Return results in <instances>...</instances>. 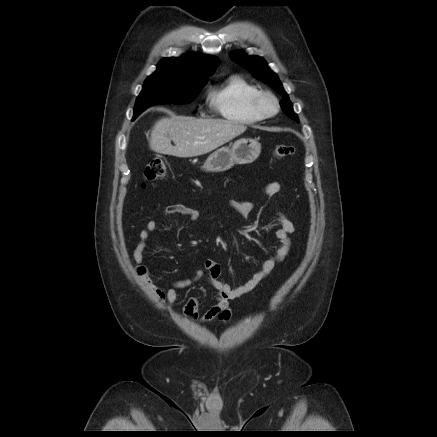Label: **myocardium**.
I'll use <instances>...</instances> for the list:
<instances>
[{
  "mask_svg": "<svg viewBox=\"0 0 437 437\" xmlns=\"http://www.w3.org/2000/svg\"><path fill=\"white\" fill-rule=\"evenodd\" d=\"M266 100L272 101L274 104L273 111H268L264 105ZM252 107L254 111L263 119L270 118L278 114L280 110V103L275 94L270 91H259L252 100Z\"/></svg>",
  "mask_w": 437,
  "mask_h": 437,
  "instance_id": "f54148a6",
  "label": "myocardium"
}]
</instances>
